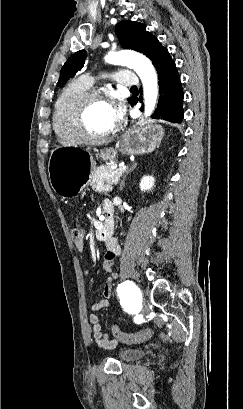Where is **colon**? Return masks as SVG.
Returning <instances> with one entry per match:
<instances>
[{"instance_id":"5ec220e1","label":"colon","mask_w":243,"mask_h":409,"mask_svg":"<svg viewBox=\"0 0 243 409\" xmlns=\"http://www.w3.org/2000/svg\"><path fill=\"white\" fill-rule=\"evenodd\" d=\"M72 239L78 250H82L84 244V232L81 228H75L72 231ZM151 334L149 329H144L143 331L129 335L123 333L117 326L112 327V335L118 341L126 344H135L146 340Z\"/></svg>"}]
</instances>
